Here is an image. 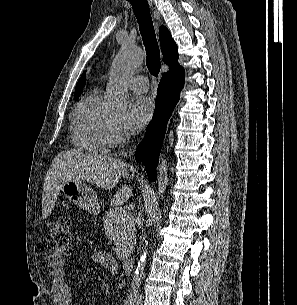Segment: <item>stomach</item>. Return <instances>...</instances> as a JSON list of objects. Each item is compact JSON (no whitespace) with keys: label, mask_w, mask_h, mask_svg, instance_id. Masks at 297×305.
Segmentation results:
<instances>
[{"label":"stomach","mask_w":297,"mask_h":305,"mask_svg":"<svg viewBox=\"0 0 297 305\" xmlns=\"http://www.w3.org/2000/svg\"><path fill=\"white\" fill-rule=\"evenodd\" d=\"M64 196L92 215H98L100 205L93 190L82 181L68 180L60 186Z\"/></svg>","instance_id":"0dacf381"}]
</instances>
